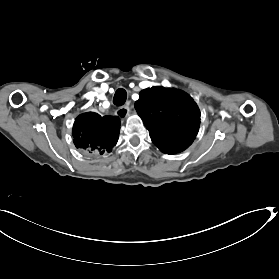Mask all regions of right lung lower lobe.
I'll return each mask as SVG.
<instances>
[{
    "instance_id": "right-lung-lower-lobe-1",
    "label": "right lung lower lobe",
    "mask_w": 279,
    "mask_h": 279,
    "mask_svg": "<svg viewBox=\"0 0 279 279\" xmlns=\"http://www.w3.org/2000/svg\"><path fill=\"white\" fill-rule=\"evenodd\" d=\"M120 132V120L116 116H104L94 112L79 115L72 135L77 148L91 155L110 152L116 145Z\"/></svg>"
}]
</instances>
